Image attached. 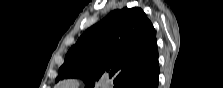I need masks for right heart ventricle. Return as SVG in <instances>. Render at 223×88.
I'll use <instances>...</instances> for the list:
<instances>
[{
  "mask_svg": "<svg viewBox=\"0 0 223 88\" xmlns=\"http://www.w3.org/2000/svg\"><path fill=\"white\" fill-rule=\"evenodd\" d=\"M56 88H63L62 86H58V87H56Z\"/></svg>",
  "mask_w": 223,
  "mask_h": 88,
  "instance_id": "right-heart-ventricle-1",
  "label": "right heart ventricle"
}]
</instances>
